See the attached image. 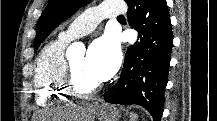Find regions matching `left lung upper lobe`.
Here are the masks:
<instances>
[{"mask_svg": "<svg viewBox=\"0 0 217 121\" xmlns=\"http://www.w3.org/2000/svg\"><path fill=\"white\" fill-rule=\"evenodd\" d=\"M89 2L90 0H50L37 23L35 51L56 26Z\"/></svg>", "mask_w": 217, "mask_h": 121, "instance_id": "obj_1", "label": "left lung upper lobe"}]
</instances>
